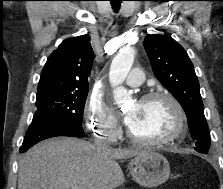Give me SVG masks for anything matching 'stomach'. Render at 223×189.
<instances>
[{
  "label": "stomach",
  "mask_w": 223,
  "mask_h": 189,
  "mask_svg": "<svg viewBox=\"0 0 223 189\" xmlns=\"http://www.w3.org/2000/svg\"><path fill=\"white\" fill-rule=\"evenodd\" d=\"M133 179L144 187H157L163 184L170 175L167 159L157 152L142 151L130 163Z\"/></svg>",
  "instance_id": "stomach-1"
}]
</instances>
